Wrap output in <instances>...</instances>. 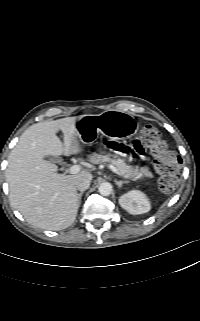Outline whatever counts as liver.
<instances>
[{"instance_id":"1","label":"liver","mask_w":200,"mask_h":321,"mask_svg":"<svg viewBox=\"0 0 200 321\" xmlns=\"http://www.w3.org/2000/svg\"><path fill=\"white\" fill-rule=\"evenodd\" d=\"M82 116H79L81 118ZM76 117L43 121L30 126L10 152L6 169L11 205L33 226L61 230L76 219L79 204L76 181L93 179L88 170L75 175L57 173L46 156L82 151L77 141ZM64 134L62 145L57 132Z\"/></svg>"}]
</instances>
